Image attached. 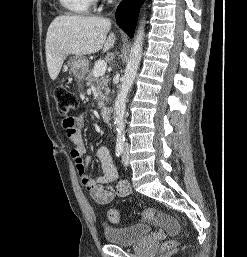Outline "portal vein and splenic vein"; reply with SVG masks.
<instances>
[{"mask_svg": "<svg viewBox=\"0 0 247 257\" xmlns=\"http://www.w3.org/2000/svg\"><path fill=\"white\" fill-rule=\"evenodd\" d=\"M106 68H107V64L104 61H97L93 69L94 77H100L104 75Z\"/></svg>", "mask_w": 247, "mask_h": 257, "instance_id": "portal-vein-and-splenic-vein-1", "label": "portal vein and splenic vein"}]
</instances>
